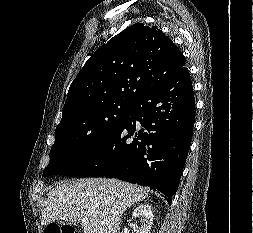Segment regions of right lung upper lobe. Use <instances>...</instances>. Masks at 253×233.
Here are the masks:
<instances>
[{
	"instance_id": "obj_1",
	"label": "right lung upper lobe",
	"mask_w": 253,
	"mask_h": 233,
	"mask_svg": "<svg viewBox=\"0 0 253 233\" xmlns=\"http://www.w3.org/2000/svg\"><path fill=\"white\" fill-rule=\"evenodd\" d=\"M184 65L182 52L160 29L131 25L88 59L70 85L62 117L105 100L135 101Z\"/></svg>"
}]
</instances>
